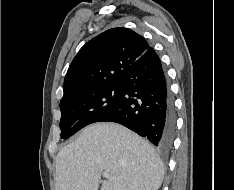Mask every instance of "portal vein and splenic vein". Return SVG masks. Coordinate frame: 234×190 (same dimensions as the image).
Segmentation results:
<instances>
[{
  "mask_svg": "<svg viewBox=\"0 0 234 190\" xmlns=\"http://www.w3.org/2000/svg\"><path fill=\"white\" fill-rule=\"evenodd\" d=\"M103 177L107 178V179H111L112 177L110 176V174L106 171L103 172Z\"/></svg>",
  "mask_w": 234,
  "mask_h": 190,
  "instance_id": "obj_1",
  "label": "portal vein and splenic vein"
}]
</instances>
